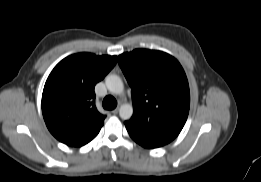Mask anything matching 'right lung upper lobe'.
Masks as SVG:
<instances>
[{
    "label": "right lung upper lobe",
    "mask_w": 261,
    "mask_h": 182,
    "mask_svg": "<svg viewBox=\"0 0 261 182\" xmlns=\"http://www.w3.org/2000/svg\"><path fill=\"white\" fill-rule=\"evenodd\" d=\"M116 62L117 56L78 53L52 70L42 94V113L60 142L81 147L99 133L105 116L96 109L94 87Z\"/></svg>",
    "instance_id": "1"
}]
</instances>
